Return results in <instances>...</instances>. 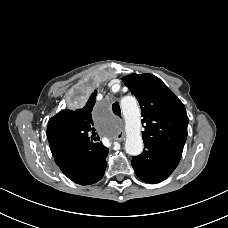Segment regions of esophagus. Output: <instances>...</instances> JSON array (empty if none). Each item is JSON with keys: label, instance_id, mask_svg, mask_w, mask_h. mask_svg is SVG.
Returning a JSON list of instances; mask_svg holds the SVG:
<instances>
[{"label": "esophagus", "instance_id": "esophagus-1", "mask_svg": "<svg viewBox=\"0 0 228 228\" xmlns=\"http://www.w3.org/2000/svg\"><path fill=\"white\" fill-rule=\"evenodd\" d=\"M115 139L117 141H122L124 139V132L122 130L118 132L117 135L115 136Z\"/></svg>", "mask_w": 228, "mask_h": 228}]
</instances>
